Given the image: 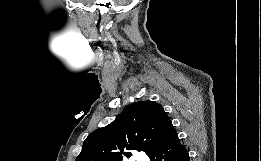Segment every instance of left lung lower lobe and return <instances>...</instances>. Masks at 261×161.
I'll list each match as a JSON object with an SVG mask.
<instances>
[{
	"label": "left lung lower lobe",
	"instance_id": "0a47b994",
	"mask_svg": "<svg viewBox=\"0 0 261 161\" xmlns=\"http://www.w3.org/2000/svg\"><path fill=\"white\" fill-rule=\"evenodd\" d=\"M151 161H190L189 154L174 131L171 136L149 155Z\"/></svg>",
	"mask_w": 261,
	"mask_h": 161
}]
</instances>
